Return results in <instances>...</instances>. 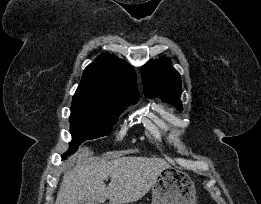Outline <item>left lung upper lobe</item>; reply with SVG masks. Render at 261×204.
Masks as SVG:
<instances>
[{
	"label": "left lung upper lobe",
	"mask_w": 261,
	"mask_h": 204,
	"mask_svg": "<svg viewBox=\"0 0 261 204\" xmlns=\"http://www.w3.org/2000/svg\"><path fill=\"white\" fill-rule=\"evenodd\" d=\"M142 83L148 98L159 97L181 109L180 74L172 67L169 59L149 61L142 67Z\"/></svg>",
	"instance_id": "1"
}]
</instances>
